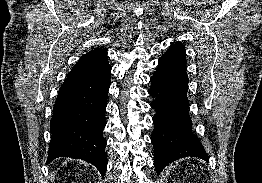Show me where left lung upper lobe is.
<instances>
[{
    "instance_id": "obj_1",
    "label": "left lung upper lobe",
    "mask_w": 262,
    "mask_h": 183,
    "mask_svg": "<svg viewBox=\"0 0 262 183\" xmlns=\"http://www.w3.org/2000/svg\"><path fill=\"white\" fill-rule=\"evenodd\" d=\"M170 47H174V48L185 50L184 45H182L180 42L172 43Z\"/></svg>"
}]
</instances>
